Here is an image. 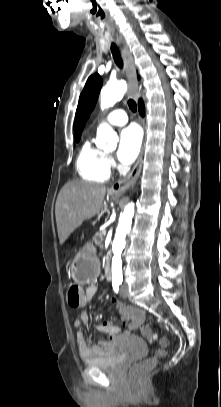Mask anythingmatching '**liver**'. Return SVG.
<instances>
[{"instance_id":"liver-1","label":"liver","mask_w":221,"mask_h":407,"mask_svg":"<svg viewBox=\"0 0 221 407\" xmlns=\"http://www.w3.org/2000/svg\"><path fill=\"white\" fill-rule=\"evenodd\" d=\"M107 188L84 181H71L61 189L56 205L55 217L60 244L79 227L84 220L99 214Z\"/></svg>"}]
</instances>
